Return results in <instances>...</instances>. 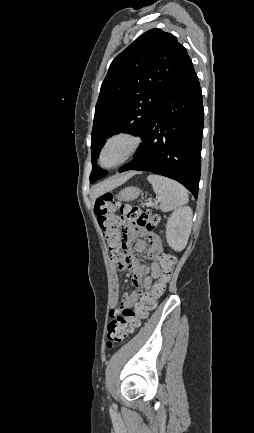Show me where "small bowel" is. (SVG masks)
<instances>
[{"instance_id":"obj_1","label":"small bowel","mask_w":254,"mask_h":433,"mask_svg":"<svg viewBox=\"0 0 254 433\" xmlns=\"http://www.w3.org/2000/svg\"><path fill=\"white\" fill-rule=\"evenodd\" d=\"M128 229V240H133L135 237L141 234L147 233L146 230L141 228H134L126 224ZM147 246L149 248V255L151 258L150 264V275L145 276L146 267L138 261V259L132 254V251L127 247L126 254L120 259H113L117 269L121 272L126 270H131L133 273L132 285L137 288L132 294H125L122 301L119 303L116 299L114 301L111 314L113 315L121 306L131 305L135 303L139 298H141L142 290H149L153 287V280L157 279L160 272V265L158 260L162 254V243L159 236L153 232L148 233V244L144 240H138L135 244V249L139 253L146 251ZM113 292L115 297L119 294V282L117 278L113 281Z\"/></svg>"}]
</instances>
